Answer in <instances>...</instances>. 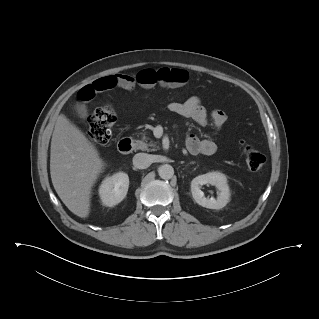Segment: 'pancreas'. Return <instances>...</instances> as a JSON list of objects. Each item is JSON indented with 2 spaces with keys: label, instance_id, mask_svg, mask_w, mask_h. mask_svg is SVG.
<instances>
[{
  "label": "pancreas",
  "instance_id": "1",
  "mask_svg": "<svg viewBox=\"0 0 319 319\" xmlns=\"http://www.w3.org/2000/svg\"><path fill=\"white\" fill-rule=\"evenodd\" d=\"M137 148L142 151H156L159 149L156 142L150 140L149 137L146 136V133L143 134L141 140H137Z\"/></svg>",
  "mask_w": 319,
  "mask_h": 319
}]
</instances>
